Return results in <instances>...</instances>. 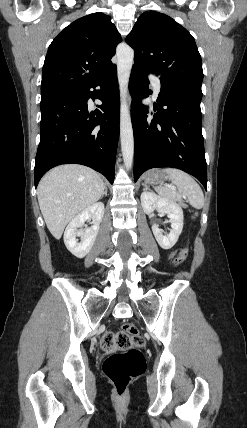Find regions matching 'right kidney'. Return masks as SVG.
I'll list each match as a JSON object with an SVG mask.
<instances>
[{
  "mask_svg": "<svg viewBox=\"0 0 247 428\" xmlns=\"http://www.w3.org/2000/svg\"><path fill=\"white\" fill-rule=\"evenodd\" d=\"M104 215V204L97 202L75 216L64 232V243L67 249L77 258L85 257L91 250L99 231V225ZM93 220V226L82 229L85 221ZM78 228H80L78 230ZM77 237L81 238L78 242Z\"/></svg>",
  "mask_w": 247,
  "mask_h": 428,
  "instance_id": "right-kidney-1",
  "label": "right kidney"
}]
</instances>
